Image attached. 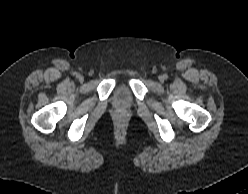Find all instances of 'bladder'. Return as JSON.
<instances>
[{"mask_svg":"<svg viewBox=\"0 0 248 194\" xmlns=\"http://www.w3.org/2000/svg\"><path fill=\"white\" fill-rule=\"evenodd\" d=\"M131 98V92L127 86H120L114 94V99L120 106L129 103Z\"/></svg>","mask_w":248,"mask_h":194,"instance_id":"1","label":"bladder"}]
</instances>
